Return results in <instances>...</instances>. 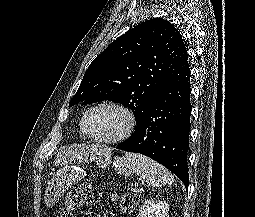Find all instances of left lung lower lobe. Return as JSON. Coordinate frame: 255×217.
<instances>
[{"mask_svg":"<svg viewBox=\"0 0 255 217\" xmlns=\"http://www.w3.org/2000/svg\"><path fill=\"white\" fill-rule=\"evenodd\" d=\"M190 76L186 58L154 96L135 132L117 147L152 158L174 173L186 188L189 185Z\"/></svg>","mask_w":255,"mask_h":217,"instance_id":"left-lung-lower-lobe-1","label":"left lung lower lobe"}]
</instances>
